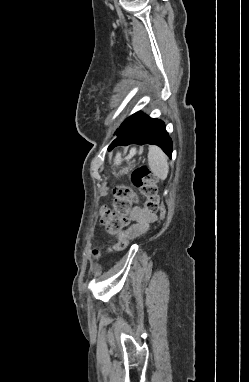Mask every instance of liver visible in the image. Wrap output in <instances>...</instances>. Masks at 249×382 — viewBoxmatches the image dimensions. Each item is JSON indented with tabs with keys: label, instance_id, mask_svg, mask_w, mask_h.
<instances>
[{
	"label": "liver",
	"instance_id": "1",
	"mask_svg": "<svg viewBox=\"0 0 249 382\" xmlns=\"http://www.w3.org/2000/svg\"><path fill=\"white\" fill-rule=\"evenodd\" d=\"M136 153V150L135 149H132L131 152H130V155H133ZM120 161V154L117 155V158H116V163H118Z\"/></svg>",
	"mask_w": 249,
	"mask_h": 382
}]
</instances>
